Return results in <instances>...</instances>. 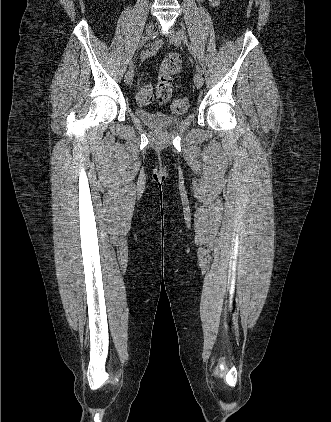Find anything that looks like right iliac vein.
Returning a JSON list of instances; mask_svg holds the SVG:
<instances>
[{
	"label": "right iliac vein",
	"instance_id": "obj_1",
	"mask_svg": "<svg viewBox=\"0 0 331 422\" xmlns=\"http://www.w3.org/2000/svg\"><path fill=\"white\" fill-rule=\"evenodd\" d=\"M154 32V22L151 20L148 22L145 32V37L147 40L153 35ZM133 69H129L125 74L124 81L126 84H130L133 80Z\"/></svg>",
	"mask_w": 331,
	"mask_h": 422
}]
</instances>
